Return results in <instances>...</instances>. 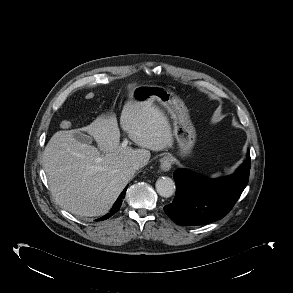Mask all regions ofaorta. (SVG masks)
I'll return each mask as SVG.
<instances>
[{
  "mask_svg": "<svg viewBox=\"0 0 293 293\" xmlns=\"http://www.w3.org/2000/svg\"><path fill=\"white\" fill-rule=\"evenodd\" d=\"M156 191L162 197H171L175 192V182L170 177H161L156 181Z\"/></svg>",
  "mask_w": 293,
  "mask_h": 293,
  "instance_id": "1",
  "label": "aorta"
}]
</instances>
